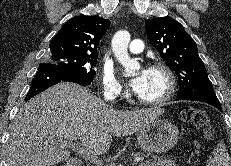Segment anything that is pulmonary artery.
<instances>
[{
  "label": "pulmonary artery",
  "instance_id": "e3ab8cb5",
  "mask_svg": "<svg viewBox=\"0 0 231 166\" xmlns=\"http://www.w3.org/2000/svg\"><path fill=\"white\" fill-rule=\"evenodd\" d=\"M144 49V43L142 40L135 39L132 40L129 44V51L132 54H139L143 51Z\"/></svg>",
  "mask_w": 231,
  "mask_h": 166
}]
</instances>
